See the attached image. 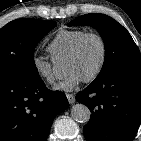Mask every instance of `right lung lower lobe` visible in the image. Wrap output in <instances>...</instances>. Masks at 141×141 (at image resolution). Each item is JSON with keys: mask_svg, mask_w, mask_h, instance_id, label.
<instances>
[{"mask_svg": "<svg viewBox=\"0 0 141 141\" xmlns=\"http://www.w3.org/2000/svg\"><path fill=\"white\" fill-rule=\"evenodd\" d=\"M68 107L64 93L38 76H0V141H46L54 117Z\"/></svg>", "mask_w": 141, "mask_h": 141, "instance_id": "1", "label": "right lung lower lobe"}]
</instances>
